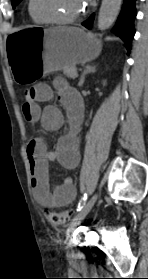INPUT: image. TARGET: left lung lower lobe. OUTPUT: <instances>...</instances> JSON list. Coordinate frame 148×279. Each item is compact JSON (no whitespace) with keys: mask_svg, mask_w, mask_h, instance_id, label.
<instances>
[{"mask_svg":"<svg viewBox=\"0 0 148 279\" xmlns=\"http://www.w3.org/2000/svg\"><path fill=\"white\" fill-rule=\"evenodd\" d=\"M135 2L136 0L123 1L121 13L112 29V32L122 38L126 43L128 51L131 49V40L135 34L134 18L137 14ZM94 16L95 14L93 13L82 25L89 29L92 28Z\"/></svg>","mask_w":148,"mask_h":279,"instance_id":"obj_1","label":"left lung lower lobe"}]
</instances>
